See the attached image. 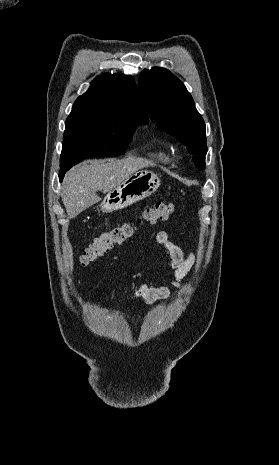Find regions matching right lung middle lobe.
Here are the masks:
<instances>
[{
	"label": "right lung middle lobe",
	"mask_w": 279,
	"mask_h": 465,
	"mask_svg": "<svg viewBox=\"0 0 279 465\" xmlns=\"http://www.w3.org/2000/svg\"><path fill=\"white\" fill-rule=\"evenodd\" d=\"M136 120L107 122L99 126L65 128L60 158L61 171L93 156L123 154L131 141Z\"/></svg>",
	"instance_id": "1"
}]
</instances>
